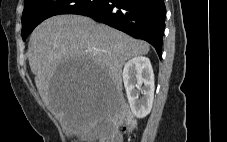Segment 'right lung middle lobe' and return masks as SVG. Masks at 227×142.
Instances as JSON below:
<instances>
[{"label": "right lung middle lobe", "mask_w": 227, "mask_h": 142, "mask_svg": "<svg viewBox=\"0 0 227 142\" xmlns=\"http://www.w3.org/2000/svg\"><path fill=\"white\" fill-rule=\"evenodd\" d=\"M105 0H28L22 14V38L45 19L59 14H78L101 5Z\"/></svg>", "instance_id": "1"}]
</instances>
